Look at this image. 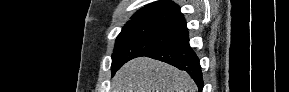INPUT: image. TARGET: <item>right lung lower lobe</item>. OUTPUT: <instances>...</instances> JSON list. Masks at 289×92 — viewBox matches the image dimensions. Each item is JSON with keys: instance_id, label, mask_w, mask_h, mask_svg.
I'll list each match as a JSON object with an SVG mask.
<instances>
[{"instance_id": "98d812e1", "label": "right lung lower lobe", "mask_w": 289, "mask_h": 92, "mask_svg": "<svg viewBox=\"0 0 289 92\" xmlns=\"http://www.w3.org/2000/svg\"><path fill=\"white\" fill-rule=\"evenodd\" d=\"M145 56L166 62L180 70L188 72L197 84L199 91H202L203 79L201 67L198 57L189 45L188 35L174 44L155 50Z\"/></svg>"}]
</instances>
